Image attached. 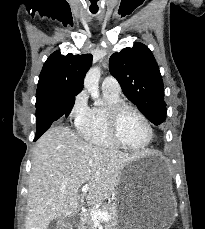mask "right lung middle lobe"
Listing matches in <instances>:
<instances>
[{"mask_svg":"<svg viewBox=\"0 0 205 229\" xmlns=\"http://www.w3.org/2000/svg\"><path fill=\"white\" fill-rule=\"evenodd\" d=\"M68 100L70 102H74L75 101V97L74 96H70L68 98ZM52 102H54L53 99H44V100L36 101V108L38 109V108L43 107V106H45L47 104H50Z\"/></svg>","mask_w":205,"mask_h":229,"instance_id":"obj_1","label":"right lung middle lobe"}]
</instances>
